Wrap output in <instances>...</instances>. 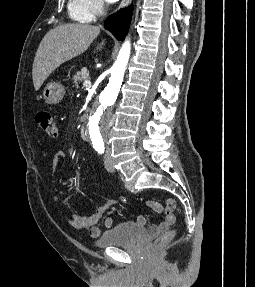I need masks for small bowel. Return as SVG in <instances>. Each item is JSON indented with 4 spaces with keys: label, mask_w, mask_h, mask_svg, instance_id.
I'll use <instances>...</instances> for the list:
<instances>
[{
    "label": "small bowel",
    "mask_w": 255,
    "mask_h": 287,
    "mask_svg": "<svg viewBox=\"0 0 255 287\" xmlns=\"http://www.w3.org/2000/svg\"><path fill=\"white\" fill-rule=\"evenodd\" d=\"M63 156H65L64 151H59L56 154V158ZM55 200H59V195H55ZM146 204L156 212H163L165 214L163 222H161L159 225L149 226V233L156 235L168 231V229L175 223L176 220L175 215L173 214V210L175 209V202L172 199H168L166 201L165 208H163L159 202L153 200L147 201ZM116 205L117 202L110 199L104 204L98 206L96 210L90 215L74 213L71 215L70 224L77 229H89L90 235L94 238H97L101 235V229L97 227L98 222L105 216L109 209L114 208ZM147 222V218L144 215H139L136 218V223L140 226H146ZM104 223L107 228H110L112 225L110 218H106Z\"/></svg>",
    "instance_id": "obj_1"
}]
</instances>
